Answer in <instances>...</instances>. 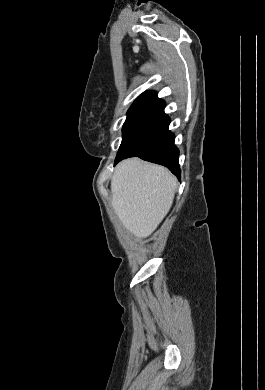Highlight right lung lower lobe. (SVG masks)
Masks as SVG:
<instances>
[{
  "instance_id": "obj_1",
  "label": "right lung lower lobe",
  "mask_w": 265,
  "mask_h": 390,
  "mask_svg": "<svg viewBox=\"0 0 265 390\" xmlns=\"http://www.w3.org/2000/svg\"><path fill=\"white\" fill-rule=\"evenodd\" d=\"M162 100L153 102L129 126L123 135L115 164L124 158L138 156L143 160L166 166L178 179L179 150L175 136L168 130L169 117L164 113Z\"/></svg>"
}]
</instances>
